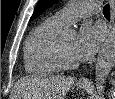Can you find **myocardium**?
<instances>
[{"mask_svg":"<svg viewBox=\"0 0 115 99\" xmlns=\"http://www.w3.org/2000/svg\"><path fill=\"white\" fill-rule=\"evenodd\" d=\"M55 58L60 65L61 68L63 69H74L79 66V61H73L69 59L63 52L60 42L56 44L55 48Z\"/></svg>","mask_w":115,"mask_h":99,"instance_id":"f54148a6","label":"myocardium"}]
</instances>
